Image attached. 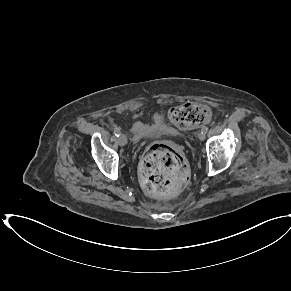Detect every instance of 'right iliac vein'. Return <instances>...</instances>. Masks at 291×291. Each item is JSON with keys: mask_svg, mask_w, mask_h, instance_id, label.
<instances>
[{"mask_svg": "<svg viewBox=\"0 0 291 291\" xmlns=\"http://www.w3.org/2000/svg\"><path fill=\"white\" fill-rule=\"evenodd\" d=\"M118 142L120 146H125L127 143V137L125 134H120L119 138H118Z\"/></svg>", "mask_w": 291, "mask_h": 291, "instance_id": "obj_1", "label": "right iliac vein"}]
</instances>
